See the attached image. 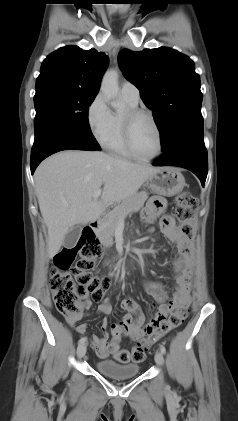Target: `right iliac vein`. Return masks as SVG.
<instances>
[{
	"mask_svg": "<svg viewBox=\"0 0 238 421\" xmlns=\"http://www.w3.org/2000/svg\"><path fill=\"white\" fill-rule=\"evenodd\" d=\"M86 350H87L86 343L79 344L77 347V356L79 358L84 357V355L86 354Z\"/></svg>",
	"mask_w": 238,
	"mask_h": 421,
	"instance_id": "63e3f726",
	"label": "right iliac vein"
}]
</instances>
